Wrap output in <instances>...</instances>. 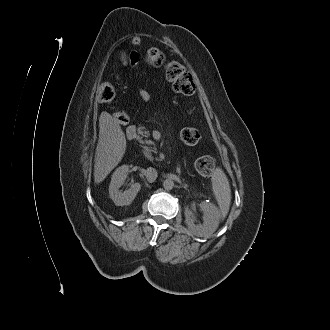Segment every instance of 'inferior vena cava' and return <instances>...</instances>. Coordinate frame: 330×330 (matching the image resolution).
I'll return each instance as SVG.
<instances>
[{
	"label": "inferior vena cava",
	"mask_w": 330,
	"mask_h": 330,
	"mask_svg": "<svg viewBox=\"0 0 330 330\" xmlns=\"http://www.w3.org/2000/svg\"><path fill=\"white\" fill-rule=\"evenodd\" d=\"M145 176L147 178V181L152 183L156 180L158 174H157V171L152 168V167H149L146 171H145Z\"/></svg>",
	"instance_id": "inferior-vena-cava-1"
}]
</instances>
